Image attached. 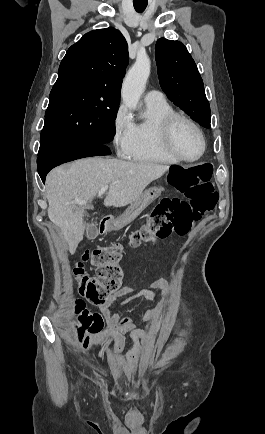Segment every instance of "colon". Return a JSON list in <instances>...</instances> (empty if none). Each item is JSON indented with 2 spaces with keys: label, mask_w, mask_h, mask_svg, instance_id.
Masks as SVG:
<instances>
[{
  "label": "colon",
  "mask_w": 265,
  "mask_h": 434,
  "mask_svg": "<svg viewBox=\"0 0 265 434\" xmlns=\"http://www.w3.org/2000/svg\"><path fill=\"white\" fill-rule=\"evenodd\" d=\"M167 177H172V189H183L185 199L163 198L156 204L148 216L145 226L132 232L128 243L133 246L151 244L172 235L184 236L204 213L212 212L219 201V194L211 177L210 164H172L166 170ZM125 247L114 243L106 247H97L88 252L82 261L77 262L73 271L77 277L80 297L92 305L106 303L111 295L122 285L124 269L121 259ZM90 262L98 269L97 276L83 274L85 264ZM75 299V296H72ZM78 313L75 315L73 329L79 332L75 341L82 347L87 345L89 335H96L97 327L103 326V319L94 311H87L83 300H78Z\"/></svg>",
  "instance_id": "obj_1"
}]
</instances>
